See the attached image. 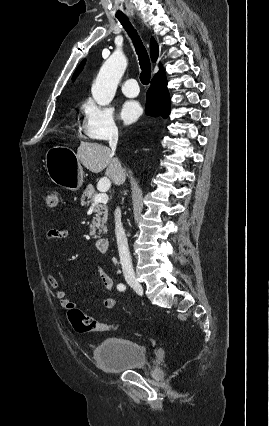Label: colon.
Returning <instances> with one entry per match:
<instances>
[{
    "instance_id": "colon-1",
    "label": "colon",
    "mask_w": 269,
    "mask_h": 426,
    "mask_svg": "<svg viewBox=\"0 0 269 426\" xmlns=\"http://www.w3.org/2000/svg\"><path fill=\"white\" fill-rule=\"evenodd\" d=\"M43 202L49 208H56L59 203L58 192L54 189L47 191L43 196ZM68 317L77 332H103L117 328L115 324L105 323L85 315L82 310L74 306L69 309Z\"/></svg>"
}]
</instances>
